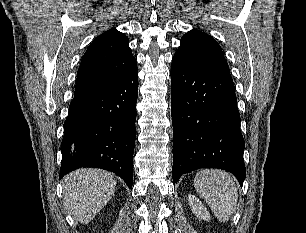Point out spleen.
Wrapping results in <instances>:
<instances>
[{"label": "spleen", "instance_id": "1", "mask_svg": "<svg viewBox=\"0 0 306 233\" xmlns=\"http://www.w3.org/2000/svg\"><path fill=\"white\" fill-rule=\"evenodd\" d=\"M194 187L220 222L231 218L238 192L229 173L217 169L201 170L195 176Z\"/></svg>", "mask_w": 306, "mask_h": 233}]
</instances>
